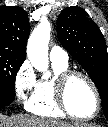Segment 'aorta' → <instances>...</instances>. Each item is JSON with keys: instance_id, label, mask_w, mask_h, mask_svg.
Returning a JSON list of instances; mask_svg holds the SVG:
<instances>
[{"instance_id": "762f6f07", "label": "aorta", "mask_w": 108, "mask_h": 127, "mask_svg": "<svg viewBox=\"0 0 108 127\" xmlns=\"http://www.w3.org/2000/svg\"><path fill=\"white\" fill-rule=\"evenodd\" d=\"M51 35V25L48 21H41L30 34L27 43V57L32 66L43 73L45 79L51 76L48 71V44Z\"/></svg>"}]
</instances>
